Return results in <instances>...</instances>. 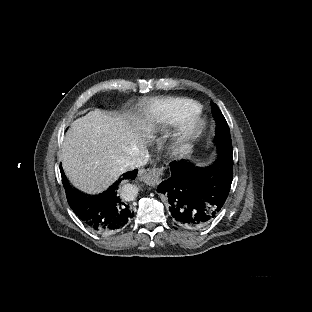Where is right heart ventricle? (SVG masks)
<instances>
[{"label":"right heart ventricle","instance_id":"e07e8e85","mask_svg":"<svg viewBox=\"0 0 312 312\" xmlns=\"http://www.w3.org/2000/svg\"><path fill=\"white\" fill-rule=\"evenodd\" d=\"M198 109V102L193 97L181 96L176 102L167 98H160L151 105V112L156 117L167 116L170 120H177L182 113L192 115Z\"/></svg>","mask_w":312,"mask_h":312}]
</instances>
